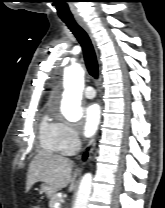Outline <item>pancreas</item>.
Masks as SVG:
<instances>
[{"mask_svg":"<svg viewBox=\"0 0 165 208\" xmlns=\"http://www.w3.org/2000/svg\"><path fill=\"white\" fill-rule=\"evenodd\" d=\"M60 201L58 194H54L49 201V208H54L55 204Z\"/></svg>","mask_w":165,"mask_h":208,"instance_id":"pancreas-1","label":"pancreas"}]
</instances>
